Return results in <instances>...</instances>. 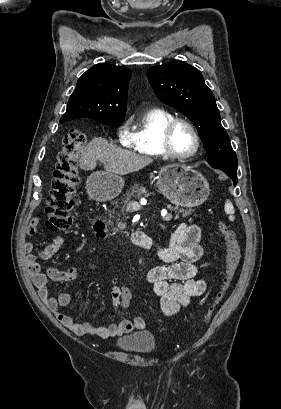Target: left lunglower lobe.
I'll use <instances>...</instances> for the list:
<instances>
[{
  "instance_id": "0a47b994",
  "label": "left lung lower lobe",
  "mask_w": 281,
  "mask_h": 409,
  "mask_svg": "<svg viewBox=\"0 0 281 409\" xmlns=\"http://www.w3.org/2000/svg\"><path fill=\"white\" fill-rule=\"evenodd\" d=\"M214 168L224 171L233 180L234 185L237 184V168L230 166H218Z\"/></svg>"
}]
</instances>
